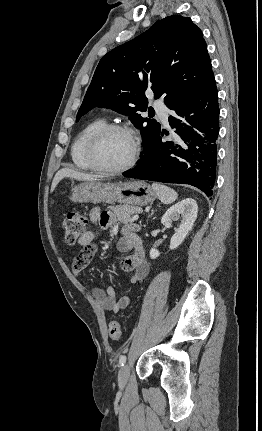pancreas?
Instances as JSON below:
<instances>
[{
  "label": "pancreas",
  "instance_id": "1",
  "mask_svg": "<svg viewBox=\"0 0 262 431\" xmlns=\"http://www.w3.org/2000/svg\"><path fill=\"white\" fill-rule=\"evenodd\" d=\"M110 210L121 223L127 224L133 222L132 216L139 213L141 208L127 205H118L110 207Z\"/></svg>",
  "mask_w": 262,
  "mask_h": 431
}]
</instances>
